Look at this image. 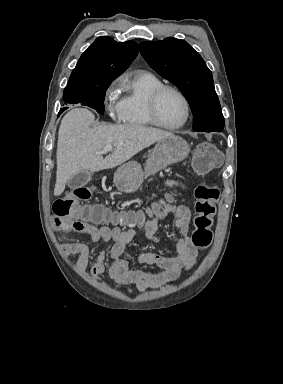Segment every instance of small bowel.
Wrapping results in <instances>:
<instances>
[{
	"label": "small bowel",
	"instance_id": "small-bowel-1",
	"mask_svg": "<svg viewBox=\"0 0 283 384\" xmlns=\"http://www.w3.org/2000/svg\"><path fill=\"white\" fill-rule=\"evenodd\" d=\"M166 186L172 189H184L185 184L177 180L169 179ZM171 215L177 234L180 235L174 243L175 254H158L154 252H142L137 254V261L140 264L157 266L160 272H146L141 269H134L129 266L124 254L135 236L132 227L120 229L117 226H96L84 221L71 222L54 215L53 227L56 230L74 232L89 237L92 241L103 243L112 242L110 250L111 265L108 274L114 280L118 288L134 285L139 292L157 289L167 283L176 280L182 271L191 270L198 255V248L193 244L188 234L191 229V212L184 203H166L161 207L155 208L153 217L146 221L144 230L146 237L156 241L159 222ZM62 253L64 256L77 255V267L80 271L87 268L90 258L89 246L80 241L68 242L63 245ZM106 260V250L102 249L95 263L91 268V276L99 278L104 272ZM129 293L133 289L126 288Z\"/></svg>",
	"mask_w": 283,
	"mask_h": 384
}]
</instances>
